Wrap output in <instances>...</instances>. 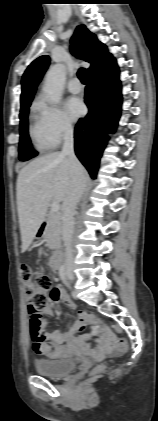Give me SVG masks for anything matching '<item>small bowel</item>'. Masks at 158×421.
<instances>
[{
  "mask_svg": "<svg viewBox=\"0 0 158 421\" xmlns=\"http://www.w3.org/2000/svg\"><path fill=\"white\" fill-rule=\"evenodd\" d=\"M64 304L68 308L75 310L76 306L70 299L64 288L56 285L50 292L49 302L41 309V312L47 315H53L54 309L59 304ZM93 317L84 311L77 312V320L74 326L68 331H49V322L41 320L37 325L30 322V334L33 341L32 347L37 354L46 355L52 359L68 356L70 350L63 346V343H69L73 347L80 346L82 338L76 335L78 329L90 324ZM114 335L106 330L99 341L95 352L103 355L110 351L114 343Z\"/></svg>",
  "mask_w": 158,
  "mask_h": 421,
  "instance_id": "1",
  "label": "small bowel"
}]
</instances>
